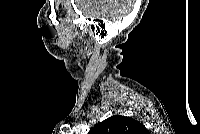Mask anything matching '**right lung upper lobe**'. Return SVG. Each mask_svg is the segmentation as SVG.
I'll list each match as a JSON object with an SVG mask.
<instances>
[{
  "label": "right lung upper lobe",
  "mask_w": 200,
  "mask_h": 134,
  "mask_svg": "<svg viewBox=\"0 0 200 134\" xmlns=\"http://www.w3.org/2000/svg\"><path fill=\"white\" fill-rule=\"evenodd\" d=\"M147 134L146 128L130 117L112 116L99 122L89 134Z\"/></svg>",
  "instance_id": "right-lung-upper-lobe-1"
}]
</instances>
